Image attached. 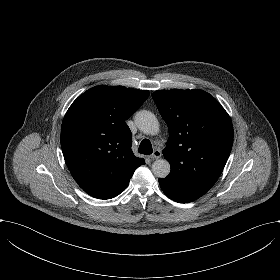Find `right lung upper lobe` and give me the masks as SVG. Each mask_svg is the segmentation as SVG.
<instances>
[{"instance_id":"cb5924a9","label":"right lung upper lobe","mask_w":280,"mask_h":280,"mask_svg":"<svg viewBox=\"0 0 280 280\" xmlns=\"http://www.w3.org/2000/svg\"><path fill=\"white\" fill-rule=\"evenodd\" d=\"M149 91L123 86H96L80 95L66 112L61 147L78 185L90 196L111 199L128 186L145 164L132 150L127 120Z\"/></svg>"}]
</instances>
